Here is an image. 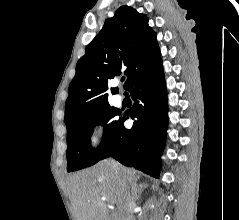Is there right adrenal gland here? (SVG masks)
Returning a JSON list of instances; mask_svg holds the SVG:
<instances>
[{
    "label": "right adrenal gland",
    "mask_w": 239,
    "mask_h": 220,
    "mask_svg": "<svg viewBox=\"0 0 239 220\" xmlns=\"http://www.w3.org/2000/svg\"><path fill=\"white\" fill-rule=\"evenodd\" d=\"M144 187H147V185H143V184L136 185L135 184L134 186H132L133 199L139 198V194L142 192Z\"/></svg>",
    "instance_id": "obj_1"
}]
</instances>
